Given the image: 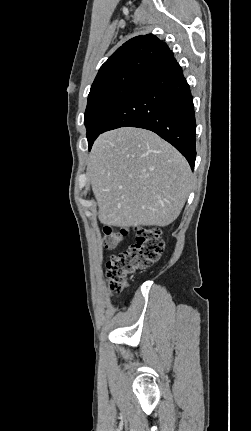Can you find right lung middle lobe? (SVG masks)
<instances>
[{
	"label": "right lung middle lobe",
	"mask_w": 251,
	"mask_h": 431,
	"mask_svg": "<svg viewBox=\"0 0 251 431\" xmlns=\"http://www.w3.org/2000/svg\"><path fill=\"white\" fill-rule=\"evenodd\" d=\"M148 63V61H140L127 64L92 84L84 119L89 146L103 131L121 102L136 86Z\"/></svg>",
	"instance_id": "1"
}]
</instances>
